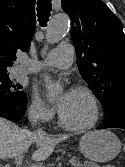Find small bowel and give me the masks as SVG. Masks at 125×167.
Returning <instances> with one entry per match:
<instances>
[{
    "instance_id": "small-bowel-1",
    "label": "small bowel",
    "mask_w": 125,
    "mask_h": 167,
    "mask_svg": "<svg viewBox=\"0 0 125 167\" xmlns=\"http://www.w3.org/2000/svg\"><path fill=\"white\" fill-rule=\"evenodd\" d=\"M105 167H114V166H112V165H107V166H105Z\"/></svg>"
}]
</instances>
